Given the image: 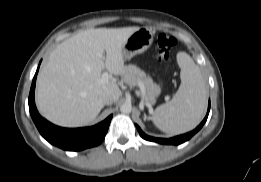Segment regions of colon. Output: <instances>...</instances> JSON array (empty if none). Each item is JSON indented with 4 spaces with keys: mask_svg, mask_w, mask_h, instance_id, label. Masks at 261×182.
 Wrapping results in <instances>:
<instances>
[{
    "mask_svg": "<svg viewBox=\"0 0 261 182\" xmlns=\"http://www.w3.org/2000/svg\"><path fill=\"white\" fill-rule=\"evenodd\" d=\"M176 41L173 37L161 33L157 38L158 59L162 64H167L170 59L172 49L175 47Z\"/></svg>",
    "mask_w": 261,
    "mask_h": 182,
    "instance_id": "5ec220e1",
    "label": "colon"
}]
</instances>
